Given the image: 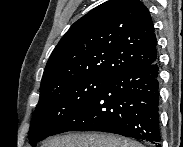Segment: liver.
Instances as JSON below:
<instances>
[{
    "mask_svg": "<svg viewBox=\"0 0 183 147\" xmlns=\"http://www.w3.org/2000/svg\"><path fill=\"white\" fill-rule=\"evenodd\" d=\"M42 147H143V145L111 134L70 133L50 139Z\"/></svg>",
    "mask_w": 183,
    "mask_h": 147,
    "instance_id": "1",
    "label": "liver"
}]
</instances>
